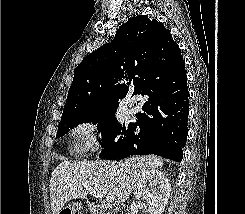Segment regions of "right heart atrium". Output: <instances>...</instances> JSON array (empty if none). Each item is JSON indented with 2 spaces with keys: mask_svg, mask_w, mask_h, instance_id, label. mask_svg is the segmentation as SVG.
<instances>
[{
  "mask_svg": "<svg viewBox=\"0 0 245 214\" xmlns=\"http://www.w3.org/2000/svg\"><path fill=\"white\" fill-rule=\"evenodd\" d=\"M73 151L83 153L95 150L98 147V139L101 136V128L98 121L85 118L79 121L72 129Z\"/></svg>",
  "mask_w": 245,
  "mask_h": 214,
  "instance_id": "1",
  "label": "right heart atrium"
}]
</instances>
